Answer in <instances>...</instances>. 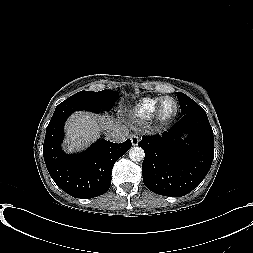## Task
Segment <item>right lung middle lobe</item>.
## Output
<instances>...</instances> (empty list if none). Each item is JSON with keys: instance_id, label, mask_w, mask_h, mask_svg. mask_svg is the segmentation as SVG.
I'll return each mask as SVG.
<instances>
[{"instance_id": "obj_1", "label": "right lung middle lobe", "mask_w": 253, "mask_h": 253, "mask_svg": "<svg viewBox=\"0 0 253 253\" xmlns=\"http://www.w3.org/2000/svg\"><path fill=\"white\" fill-rule=\"evenodd\" d=\"M118 98V92L112 90H102L99 92L80 91L60 104L86 105L92 110L101 111L112 108Z\"/></svg>"}]
</instances>
